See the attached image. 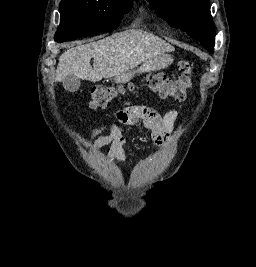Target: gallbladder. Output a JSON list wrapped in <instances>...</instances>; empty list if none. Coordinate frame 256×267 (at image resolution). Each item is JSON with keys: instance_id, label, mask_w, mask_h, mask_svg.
Segmentation results:
<instances>
[{"instance_id": "gallbladder-1", "label": "gallbladder", "mask_w": 256, "mask_h": 267, "mask_svg": "<svg viewBox=\"0 0 256 267\" xmlns=\"http://www.w3.org/2000/svg\"><path fill=\"white\" fill-rule=\"evenodd\" d=\"M63 86L67 92H77L81 86V80L80 78H77V76H74V74H71V76H67L65 80H62Z\"/></svg>"}]
</instances>
